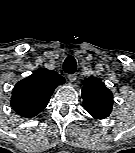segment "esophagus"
<instances>
[{
    "label": "esophagus",
    "mask_w": 135,
    "mask_h": 153,
    "mask_svg": "<svg viewBox=\"0 0 135 153\" xmlns=\"http://www.w3.org/2000/svg\"><path fill=\"white\" fill-rule=\"evenodd\" d=\"M68 79H69V81H70L71 83L75 82L76 79H77V74H76V73H74V74H69V75H68Z\"/></svg>",
    "instance_id": "esophagus-1"
}]
</instances>
